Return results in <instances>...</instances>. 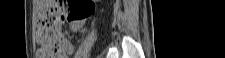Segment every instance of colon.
I'll list each match as a JSON object with an SVG mask.
<instances>
[{
  "mask_svg": "<svg viewBox=\"0 0 225 58\" xmlns=\"http://www.w3.org/2000/svg\"><path fill=\"white\" fill-rule=\"evenodd\" d=\"M94 10L90 0L79 1H37L36 40L41 45L40 58H65L62 45L64 40L63 23L65 19L80 21L87 18Z\"/></svg>",
  "mask_w": 225,
  "mask_h": 58,
  "instance_id": "obj_1",
  "label": "colon"
}]
</instances>
